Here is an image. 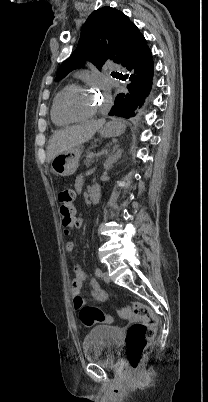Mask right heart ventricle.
I'll return each instance as SVG.
<instances>
[{"label": "right heart ventricle", "mask_w": 208, "mask_h": 402, "mask_svg": "<svg viewBox=\"0 0 208 402\" xmlns=\"http://www.w3.org/2000/svg\"><path fill=\"white\" fill-rule=\"evenodd\" d=\"M71 85L65 86L61 91H59L53 98L52 104H51V120L53 124L59 128L63 127H69L72 125H75L79 122H82L83 120H75L67 117L66 115L63 114L61 107H60V99L64 91L70 87Z\"/></svg>", "instance_id": "1"}]
</instances>
